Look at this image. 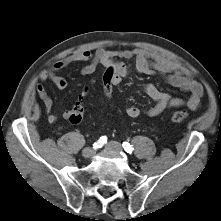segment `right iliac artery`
Instances as JSON below:
<instances>
[{
	"label": "right iliac artery",
	"instance_id": "1",
	"mask_svg": "<svg viewBox=\"0 0 221 221\" xmlns=\"http://www.w3.org/2000/svg\"><path fill=\"white\" fill-rule=\"evenodd\" d=\"M106 143H107V137L102 136L93 144V148H95V149L96 148H101Z\"/></svg>",
	"mask_w": 221,
	"mask_h": 221
}]
</instances>
